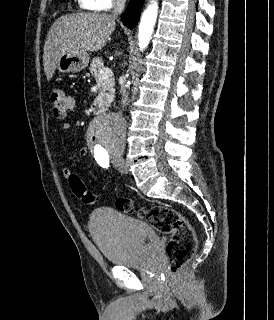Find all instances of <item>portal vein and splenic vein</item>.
<instances>
[{"mask_svg":"<svg viewBox=\"0 0 274 320\" xmlns=\"http://www.w3.org/2000/svg\"><path fill=\"white\" fill-rule=\"evenodd\" d=\"M113 72L110 70V68H102V70H99V76L104 80V78H110L112 76Z\"/></svg>","mask_w":274,"mask_h":320,"instance_id":"1","label":"portal vein and splenic vein"}]
</instances>
